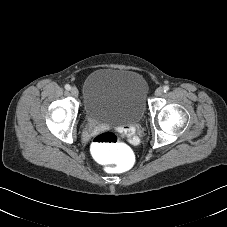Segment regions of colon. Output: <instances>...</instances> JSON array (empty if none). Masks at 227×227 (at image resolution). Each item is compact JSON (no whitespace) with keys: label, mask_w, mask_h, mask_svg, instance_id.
Masks as SVG:
<instances>
[{"label":"colon","mask_w":227,"mask_h":227,"mask_svg":"<svg viewBox=\"0 0 227 227\" xmlns=\"http://www.w3.org/2000/svg\"><path fill=\"white\" fill-rule=\"evenodd\" d=\"M92 148L98 160L116 173L124 174L129 170L130 150L118 134L111 131L99 133L92 141Z\"/></svg>","instance_id":"obj_1"}]
</instances>
